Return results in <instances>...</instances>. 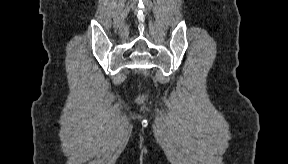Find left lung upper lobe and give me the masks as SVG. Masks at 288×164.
Wrapping results in <instances>:
<instances>
[{
    "instance_id": "left-lung-upper-lobe-1",
    "label": "left lung upper lobe",
    "mask_w": 288,
    "mask_h": 164,
    "mask_svg": "<svg viewBox=\"0 0 288 164\" xmlns=\"http://www.w3.org/2000/svg\"><path fill=\"white\" fill-rule=\"evenodd\" d=\"M257 80H251L250 81V84L252 85V87L254 88V89H256V86H257Z\"/></svg>"
}]
</instances>
